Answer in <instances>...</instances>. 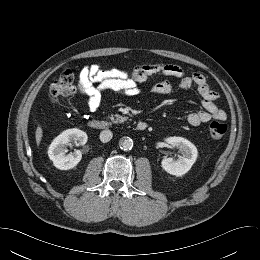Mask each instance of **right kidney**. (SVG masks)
<instances>
[{
    "label": "right kidney",
    "instance_id": "ca27d5eb",
    "mask_svg": "<svg viewBox=\"0 0 260 260\" xmlns=\"http://www.w3.org/2000/svg\"><path fill=\"white\" fill-rule=\"evenodd\" d=\"M87 134L77 128L68 129L58 135L48 149V156L54 166L60 170L74 168L82 159L81 151L67 154V145L75 142L77 145H84L87 142Z\"/></svg>",
    "mask_w": 260,
    "mask_h": 260
}]
</instances>
